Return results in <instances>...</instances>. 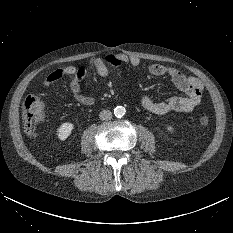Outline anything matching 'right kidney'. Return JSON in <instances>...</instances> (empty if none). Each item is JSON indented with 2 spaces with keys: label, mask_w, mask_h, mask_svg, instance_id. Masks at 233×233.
Returning <instances> with one entry per match:
<instances>
[{
  "label": "right kidney",
  "mask_w": 233,
  "mask_h": 233,
  "mask_svg": "<svg viewBox=\"0 0 233 233\" xmlns=\"http://www.w3.org/2000/svg\"><path fill=\"white\" fill-rule=\"evenodd\" d=\"M73 129H74V125L71 122L62 123L60 127L57 129L58 138L61 141L66 140L72 133Z\"/></svg>",
  "instance_id": "obj_1"
}]
</instances>
